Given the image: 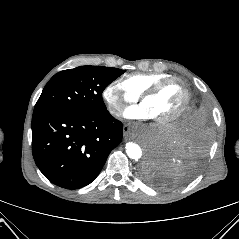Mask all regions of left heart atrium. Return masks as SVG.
I'll use <instances>...</instances> for the list:
<instances>
[{"label": "left heart atrium", "instance_id": "1", "mask_svg": "<svg viewBox=\"0 0 239 239\" xmlns=\"http://www.w3.org/2000/svg\"><path fill=\"white\" fill-rule=\"evenodd\" d=\"M124 117L128 119H152L143 103L128 107L124 111Z\"/></svg>", "mask_w": 239, "mask_h": 239}]
</instances>
